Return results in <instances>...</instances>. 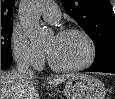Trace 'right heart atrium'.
<instances>
[{
  "label": "right heart atrium",
  "instance_id": "right-heart-atrium-1",
  "mask_svg": "<svg viewBox=\"0 0 115 99\" xmlns=\"http://www.w3.org/2000/svg\"><path fill=\"white\" fill-rule=\"evenodd\" d=\"M11 49L15 60L22 66L38 68L43 62L42 55L31 47L27 38L19 31L12 34Z\"/></svg>",
  "mask_w": 115,
  "mask_h": 99
}]
</instances>
